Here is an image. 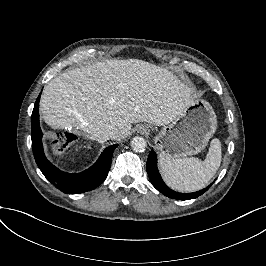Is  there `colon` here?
<instances>
[{
    "mask_svg": "<svg viewBox=\"0 0 266 266\" xmlns=\"http://www.w3.org/2000/svg\"><path fill=\"white\" fill-rule=\"evenodd\" d=\"M57 139H59V141H61V142L58 143V150H62V147L60 146V145H62V137L61 136H57Z\"/></svg>",
    "mask_w": 266,
    "mask_h": 266,
    "instance_id": "5ec220e1",
    "label": "colon"
}]
</instances>
